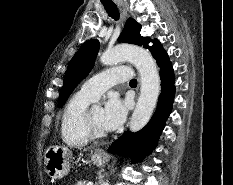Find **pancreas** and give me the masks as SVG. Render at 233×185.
<instances>
[{"label":"pancreas","mask_w":233,"mask_h":185,"mask_svg":"<svg viewBox=\"0 0 233 185\" xmlns=\"http://www.w3.org/2000/svg\"><path fill=\"white\" fill-rule=\"evenodd\" d=\"M75 185H85V181H78Z\"/></svg>","instance_id":"obj_1"}]
</instances>
